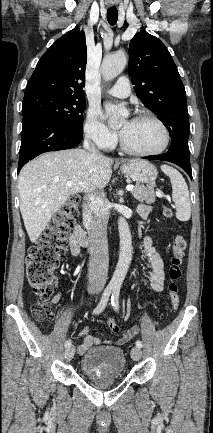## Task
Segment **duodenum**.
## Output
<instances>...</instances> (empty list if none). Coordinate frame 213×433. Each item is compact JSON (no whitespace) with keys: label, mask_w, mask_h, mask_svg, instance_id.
I'll use <instances>...</instances> for the list:
<instances>
[{"label":"duodenum","mask_w":213,"mask_h":433,"mask_svg":"<svg viewBox=\"0 0 213 433\" xmlns=\"http://www.w3.org/2000/svg\"><path fill=\"white\" fill-rule=\"evenodd\" d=\"M73 235L75 237V240L80 246L86 247L90 244V239L87 236L86 231L82 228L81 225L79 224L75 225Z\"/></svg>","instance_id":"410a0bca"}]
</instances>
